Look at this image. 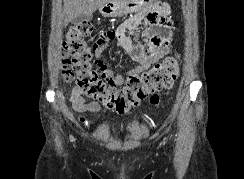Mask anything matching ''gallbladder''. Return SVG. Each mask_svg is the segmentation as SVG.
<instances>
[{"mask_svg":"<svg viewBox=\"0 0 244 179\" xmlns=\"http://www.w3.org/2000/svg\"><path fill=\"white\" fill-rule=\"evenodd\" d=\"M88 20H92V14H88V16L81 14V16L73 18V20H71V24H80V22H88Z\"/></svg>","mask_w":244,"mask_h":179,"instance_id":"obj_1","label":"gallbladder"}]
</instances>
